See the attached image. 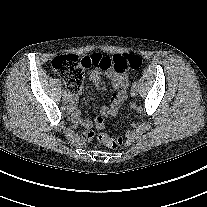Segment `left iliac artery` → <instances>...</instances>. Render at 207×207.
<instances>
[{
    "label": "left iliac artery",
    "mask_w": 207,
    "mask_h": 207,
    "mask_svg": "<svg viewBox=\"0 0 207 207\" xmlns=\"http://www.w3.org/2000/svg\"><path fill=\"white\" fill-rule=\"evenodd\" d=\"M137 85H138V82L135 81V82L133 83V86H137Z\"/></svg>",
    "instance_id": "44dca946"
}]
</instances>
